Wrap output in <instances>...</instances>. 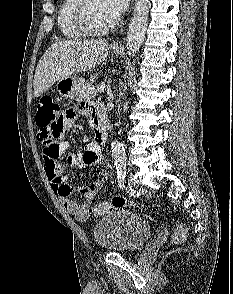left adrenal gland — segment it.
I'll return each mask as SVG.
<instances>
[{
    "label": "left adrenal gland",
    "mask_w": 233,
    "mask_h": 294,
    "mask_svg": "<svg viewBox=\"0 0 233 294\" xmlns=\"http://www.w3.org/2000/svg\"><path fill=\"white\" fill-rule=\"evenodd\" d=\"M110 84H111V80L108 81V84H107V87H106L107 94L109 96V99L113 98V94H112V90H111V85Z\"/></svg>",
    "instance_id": "1"
}]
</instances>
